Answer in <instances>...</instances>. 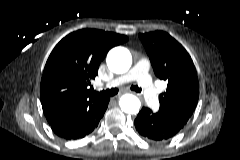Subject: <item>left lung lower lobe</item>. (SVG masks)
Returning <instances> with one entry per match:
<instances>
[{
    "label": "left lung lower lobe",
    "instance_id": "0a47b994",
    "mask_svg": "<svg viewBox=\"0 0 240 160\" xmlns=\"http://www.w3.org/2000/svg\"><path fill=\"white\" fill-rule=\"evenodd\" d=\"M138 133L150 141H166L184 126L166 114L143 107L134 121Z\"/></svg>",
    "mask_w": 240,
    "mask_h": 160
}]
</instances>
